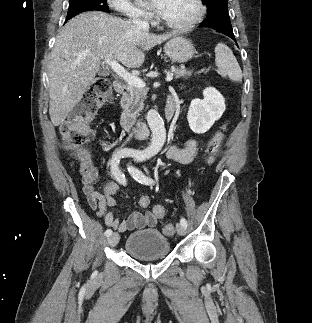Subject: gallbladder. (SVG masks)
<instances>
[{"label": "gallbladder", "mask_w": 312, "mask_h": 323, "mask_svg": "<svg viewBox=\"0 0 312 323\" xmlns=\"http://www.w3.org/2000/svg\"><path fill=\"white\" fill-rule=\"evenodd\" d=\"M98 74L99 76H109L110 72L109 70H99Z\"/></svg>", "instance_id": "obj_1"}]
</instances>
